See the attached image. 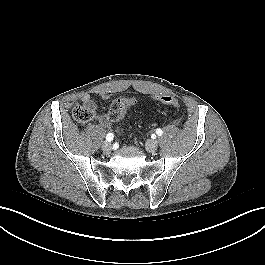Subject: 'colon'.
Returning a JSON list of instances; mask_svg holds the SVG:
<instances>
[{
	"label": "colon",
	"instance_id": "1",
	"mask_svg": "<svg viewBox=\"0 0 265 265\" xmlns=\"http://www.w3.org/2000/svg\"><path fill=\"white\" fill-rule=\"evenodd\" d=\"M161 101L164 104H167L171 107L177 108L179 107L178 100L173 96H162ZM136 103L134 98L125 97L118 98L111 104L109 109L108 118L113 122H119L124 118L125 112L131 106ZM73 118L79 124H86L93 120L94 118V109L88 105H76L72 112Z\"/></svg>",
	"mask_w": 265,
	"mask_h": 265
}]
</instances>
